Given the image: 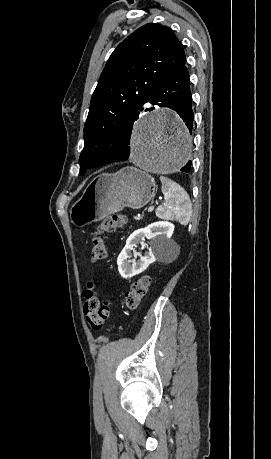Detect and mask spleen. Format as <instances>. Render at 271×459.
Returning <instances> with one entry per match:
<instances>
[{
  "mask_svg": "<svg viewBox=\"0 0 271 459\" xmlns=\"http://www.w3.org/2000/svg\"><path fill=\"white\" fill-rule=\"evenodd\" d=\"M162 182V194H164V204L156 210V216L162 220H177L183 226H187L192 216V208H190L187 200H189L186 192L181 186L160 176Z\"/></svg>",
  "mask_w": 271,
  "mask_h": 459,
  "instance_id": "spleen-1",
  "label": "spleen"
}]
</instances>
